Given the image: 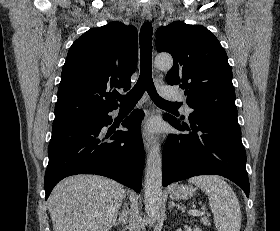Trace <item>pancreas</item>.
Wrapping results in <instances>:
<instances>
[{
  "instance_id": "pancreas-1",
  "label": "pancreas",
  "mask_w": 280,
  "mask_h": 231,
  "mask_svg": "<svg viewBox=\"0 0 280 231\" xmlns=\"http://www.w3.org/2000/svg\"><path fill=\"white\" fill-rule=\"evenodd\" d=\"M200 221H202V223H204V225H211L208 217H201Z\"/></svg>"
}]
</instances>
